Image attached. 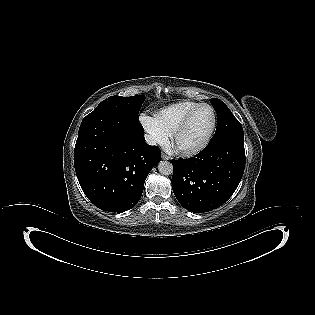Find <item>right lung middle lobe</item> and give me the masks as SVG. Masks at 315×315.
Returning a JSON list of instances; mask_svg holds the SVG:
<instances>
[{
  "instance_id": "right-lung-middle-lobe-1",
  "label": "right lung middle lobe",
  "mask_w": 315,
  "mask_h": 315,
  "mask_svg": "<svg viewBox=\"0 0 315 315\" xmlns=\"http://www.w3.org/2000/svg\"><path fill=\"white\" fill-rule=\"evenodd\" d=\"M143 95L131 97L112 96L103 100L93 112L109 111L123 118L138 121L139 110L144 102Z\"/></svg>"
}]
</instances>
